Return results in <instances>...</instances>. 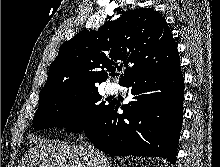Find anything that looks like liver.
<instances>
[{
	"label": "liver",
	"instance_id": "6515ba94",
	"mask_svg": "<svg viewBox=\"0 0 220 167\" xmlns=\"http://www.w3.org/2000/svg\"><path fill=\"white\" fill-rule=\"evenodd\" d=\"M96 152L92 146L38 140L18 167H97Z\"/></svg>",
	"mask_w": 220,
	"mask_h": 167
}]
</instances>
